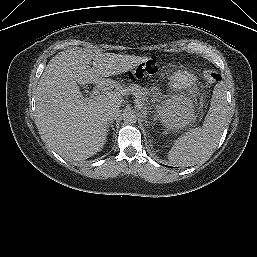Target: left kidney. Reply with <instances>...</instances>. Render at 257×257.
I'll return each mask as SVG.
<instances>
[{
    "label": "left kidney",
    "mask_w": 257,
    "mask_h": 257,
    "mask_svg": "<svg viewBox=\"0 0 257 257\" xmlns=\"http://www.w3.org/2000/svg\"><path fill=\"white\" fill-rule=\"evenodd\" d=\"M157 117L168 129H180L191 124L195 115L189 99L175 96L157 107Z\"/></svg>",
    "instance_id": "5707ae66"
}]
</instances>
